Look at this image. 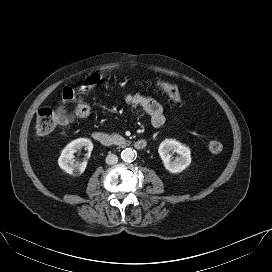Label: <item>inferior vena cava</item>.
Instances as JSON below:
<instances>
[{
    "instance_id": "inferior-vena-cava-1",
    "label": "inferior vena cava",
    "mask_w": 272,
    "mask_h": 272,
    "mask_svg": "<svg viewBox=\"0 0 272 272\" xmlns=\"http://www.w3.org/2000/svg\"><path fill=\"white\" fill-rule=\"evenodd\" d=\"M118 162V157L115 154H108L106 157V163L108 165H114Z\"/></svg>"
}]
</instances>
